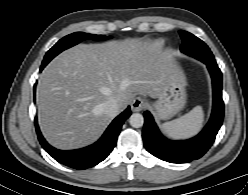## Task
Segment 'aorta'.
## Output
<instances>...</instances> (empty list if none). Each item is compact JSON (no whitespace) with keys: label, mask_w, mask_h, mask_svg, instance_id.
Wrapping results in <instances>:
<instances>
[{"label":"aorta","mask_w":248,"mask_h":195,"mask_svg":"<svg viewBox=\"0 0 248 195\" xmlns=\"http://www.w3.org/2000/svg\"><path fill=\"white\" fill-rule=\"evenodd\" d=\"M129 123L134 128H140L144 124V117L140 113H133L129 118Z\"/></svg>","instance_id":"aorta-1"}]
</instances>
